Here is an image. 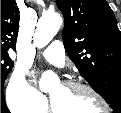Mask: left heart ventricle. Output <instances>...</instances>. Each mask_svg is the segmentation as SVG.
<instances>
[{"label":"left heart ventricle","mask_w":121,"mask_h":113,"mask_svg":"<svg viewBox=\"0 0 121 113\" xmlns=\"http://www.w3.org/2000/svg\"><path fill=\"white\" fill-rule=\"evenodd\" d=\"M49 94L50 99L59 113H102L104 110L101 102L91 93L69 90L61 84L55 85Z\"/></svg>","instance_id":"left-heart-ventricle-1"}]
</instances>
